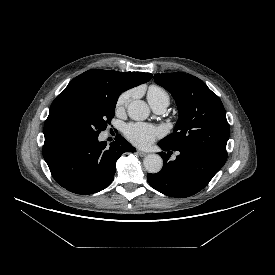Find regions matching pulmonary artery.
Returning a JSON list of instances; mask_svg holds the SVG:
<instances>
[{"label":"pulmonary artery","mask_w":275,"mask_h":275,"mask_svg":"<svg viewBox=\"0 0 275 275\" xmlns=\"http://www.w3.org/2000/svg\"><path fill=\"white\" fill-rule=\"evenodd\" d=\"M167 106L168 105L164 102H160V103L151 105L152 109L158 114L164 113L166 111Z\"/></svg>","instance_id":"1"}]
</instances>
